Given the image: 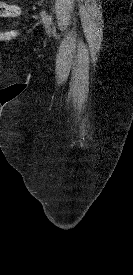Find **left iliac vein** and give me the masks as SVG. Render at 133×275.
I'll return each instance as SVG.
<instances>
[{
  "instance_id": "left-iliac-vein-1",
  "label": "left iliac vein",
  "mask_w": 133,
  "mask_h": 275,
  "mask_svg": "<svg viewBox=\"0 0 133 275\" xmlns=\"http://www.w3.org/2000/svg\"><path fill=\"white\" fill-rule=\"evenodd\" d=\"M44 26H45V28H46L48 31H50L49 24H47L45 21H44Z\"/></svg>"
}]
</instances>
